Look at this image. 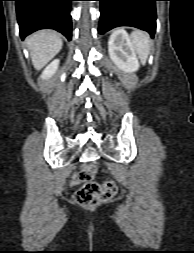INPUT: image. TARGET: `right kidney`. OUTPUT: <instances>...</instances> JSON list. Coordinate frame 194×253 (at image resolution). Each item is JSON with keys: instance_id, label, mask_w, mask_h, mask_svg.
Segmentation results:
<instances>
[{"instance_id": "1", "label": "right kidney", "mask_w": 194, "mask_h": 253, "mask_svg": "<svg viewBox=\"0 0 194 253\" xmlns=\"http://www.w3.org/2000/svg\"><path fill=\"white\" fill-rule=\"evenodd\" d=\"M58 66H59V60H58V59L52 61V62L45 68V70L43 71V73H42V75H41V78H42V79H48V78L52 77V76L55 74V72L57 71Z\"/></svg>"}]
</instances>
